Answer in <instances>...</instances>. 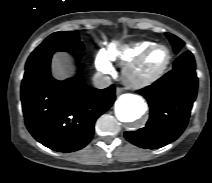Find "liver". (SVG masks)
<instances>
[{"label":"liver","mask_w":212,"mask_h":183,"mask_svg":"<svg viewBox=\"0 0 212 183\" xmlns=\"http://www.w3.org/2000/svg\"><path fill=\"white\" fill-rule=\"evenodd\" d=\"M52 72L56 79L63 80L72 73V68L65 55H57L52 60Z\"/></svg>","instance_id":"liver-1"}]
</instances>
